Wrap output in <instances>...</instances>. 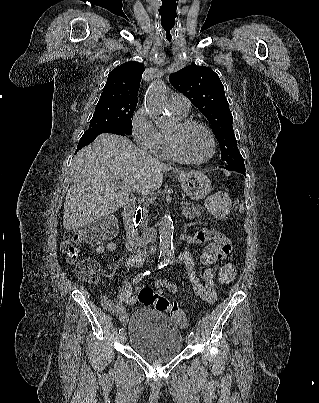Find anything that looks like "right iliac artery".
I'll return each instance as SVG.
<instances>
[{
    "label": "right iliac artery",
    "instance_id": "82829eb1",
    "mask_svg": "<svg viewBox=\"0 0 319 403\" xmlns=\"http://www.w3.org/2000/svg\"><path fill=\"white\" fill-rule=\"evenodd\" d=\"M164 266H166V264L161 262L160 264H158L157 270L163 268ZM150 273H151L150 271H146L143 274L141 273V274L137 275L135 277V279L133 280V283H135V284L138 283L145 275H149ZM123 331H124L123 328L119 329V333H122Z\"/></svg>",
    "mask_w": 319,
    "mask_h": 403
}]
</instances>
